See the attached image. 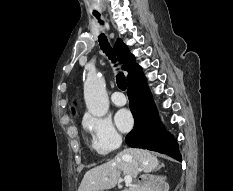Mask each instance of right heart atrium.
I'll list each match as a JSON object with an SVG mask.
<instances>
[{
  "instance_id": "right-heart-atrium-1",
  "label": "right heart atrium",
  "mask_w": 233,
  "mask_h": 191,
  "mask_svg": "<svg viewBox=\"0 0 233 191\" xmlns=\"http://www.w3.org/2000/svg\"><path fill=\"white\" fill-rule=\"evenodd\" d=\"M84 127L90 134L92 148L100 155H107L121 144V135L109 118L88 115Z\"/></svg>"
}]
</instances>
